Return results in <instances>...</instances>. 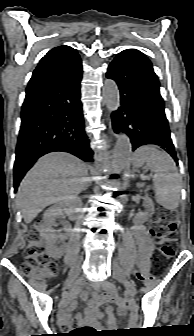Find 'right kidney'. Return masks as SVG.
Instances as JSON below:
<instances>
[{
	"mask_svg": "<svg viewBox=\"0 0 194 336\" xmlns=\"http://www.w3.org/2000/svg\"><path fill=\"white\" fill-rule=\"evenodd\" d=\"M82 204L81 199L73 196L67 197L62 201L56 203L55 205L48 208L43 214V222L40 226V236L44 239L46 243V249L54 258H60L63 253V246L57 245L58 236L56 231L53 229L57 226L56 219L65 211L69 216H71L75 210Z\"/></svg>",
	"mask_w": 194,
	"mask_h": 336,
	"instance_id": "right-kidney-1",
	"label": "right kidney"
}]
</instances>
